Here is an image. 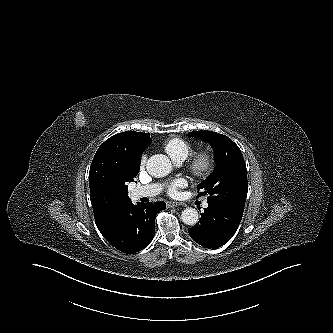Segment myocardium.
<instances>
[{
	"label": "myocardium",
	"mask_w": 333,
	"mask_h": 333,
	"mask_svg": "<svg viewBox=\"0 0 333 333\" xmlns=\"http://www.w3.org/2000/svg\"><path fill=\"white\" fill-rule=\"evenodd\" d=\"M214 155L209 150L194 152L188 159V169L197 177H207L213 170Z\"/></svg>",
	"instance_id": "myocardium-1"
}]
</instances>
